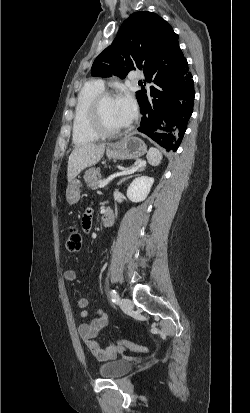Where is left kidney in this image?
I'll return each mask as SVG.
<instances>
[{"label": "left kidney", "instance_id": "obj_1", "mask_svg": "<svg viewBox=\"0 0 250 413\" xmlns=\"http://www.w3.org/2000/svg\"><path fill=\"white\" fill-rule=\"evenodd\" d=\"M153 183L154 179L152 177L140 176L135 178L127 189L128 199L136 203L144 201Z\"/></svg>", "mask_w": 250, "mask_h": 413}]
</instances>
